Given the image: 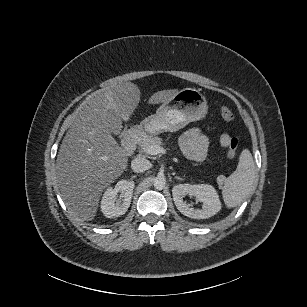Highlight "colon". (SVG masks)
<instances>
[{"mask_svg":"<svg viewBox=\"0 0 307 307\" xmlns=\"http://www.w3.org/2000/svg\"><path fill=\"white\" fill-rule=\"evenodd\" d=\"M220 114L222 119L225 121H231L234 116L232 111L225 106L221 107ZM237 148H238V140L236 138H232L228 146L227 157L234 158L237 154Z\"/></svg>","mask_w":307,"mask_h":307,"instance_id":"1","label":"colon"}]
</instances>
